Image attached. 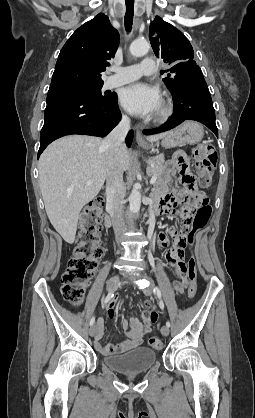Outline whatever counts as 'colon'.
<instances>
[{"instance_id":"colon-1","label":"colon","mask_w":255,"mask_h":418,"mask_svg":"<svg viewBox=\"0 0 255 418\" xmlns=\"http://www.w3.org/2000/svg\"><path fill=\"white\" fill-rule=\"evenodd\" d=\"M192 156L199 184L202 187L210 186L218 158L215 147L209 143H201L193 149ZM195 203L198 206L196 212L193 216L189 215L182 226V228H190L191 230V234L186 235V243L189 246H194V232L207 224L212 211L206 195L202 192L196 195ZM103 205V199L96 197L82 209L79 222L80 231L67 268L61 278L62 295L73 306L82 304L85 284L92 278L103 254L98 237ZM186 264L188 265V280L182 286L187 287L188 297L193 298L196 294L195 259L190 257ZM149 344L154 349L162 347V342L157 337H151Z\"/></svg>"}]
</instances>
